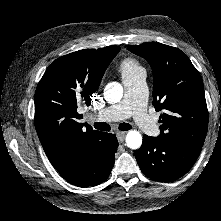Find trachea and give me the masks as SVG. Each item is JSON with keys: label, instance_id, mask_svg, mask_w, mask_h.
I'll return each instance as SVG.
<instances>
[{"label": "trachea", "instance_id": "3493384b", "mask_svg": "<svg viewBox=\"0 0 221 221\" xmlns=\"http://www.w3.org/2000/svg\"><path fill=\"white\" fill-rule=\"evenodd\" d=\"M94 127L97 130H101V131H109L110 130V125L105 123V122H96L94 123ZM132 128V126L129 123H121L119 125V129L122 131H127L130 130Z\"/></svg>", "mask_w": 221, "mask_h": 221}]
</instances>
